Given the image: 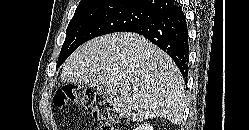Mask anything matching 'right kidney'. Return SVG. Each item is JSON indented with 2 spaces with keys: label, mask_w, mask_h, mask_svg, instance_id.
<instances>
[{
  "label": "right kidney",
  "mask_w": 249,
  "mask_h": 130,
  "mask_svg": "<svg viewBox=\"0 0 249 130\" xmlns=\"http://www.w3.org/2000/svg\"><path fill=\"white\" fill-rule=\"evenodd\" d=\"M135 130H153V126L151 124H142L139 125Z\"/></svg>",
  "instance_id": "ca27d5eb"
}]
</instances>
